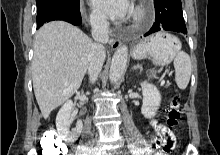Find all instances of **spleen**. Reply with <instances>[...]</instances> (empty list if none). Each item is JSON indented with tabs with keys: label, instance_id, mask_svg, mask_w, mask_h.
Segmentation results:
<instances>
[{
	"label": "spleen",
	"instance_id": "spleen-1",
	"mask_svg": "<svg viewBox=\"0 0 220 155\" xmlns=\"http://www.w3.org/2000/svg\"><path fill=\"white\" fill-rule=\"evenodd\" d=\"M174 67L175 82L179 89L185 90L190 81L192 71L190 56L184 51H179L174 59Z\"/></svg>",
	"mask_w": 220,
	"mask_h": 155
}]
</instances>
